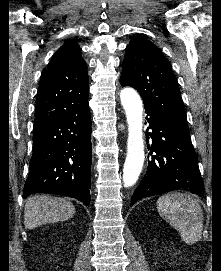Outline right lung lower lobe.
<instances>
[{
    "mask_svg": "<svg viewBox=\"0 0 221 271\" xmlns=\"http://www.w3.org/2000/svg\"><path fill=\"white\" fill-rule=\"evenodd\" d=\"M89 107L34 127L33 154L23 198L69 196L89 204L92 162Z\"/></svg>",
    "mask_w": 221,
    "mask_h": 271,
    "instance_id": "98d812e1",
    "label": "right lung lower lobe"
}]
</instances>
